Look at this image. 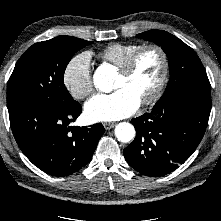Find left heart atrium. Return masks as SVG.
I'll use <instances>...</instances> for the list:
<instances>
[{"label":"left heart atrium","mask_w":221,"mask_h":221,"mask_svg":"<svg viewBox=\"0 0 221 221\" xmlns=\"http://www.w3.org/2000/svg\"><path fill=\"white\" fill-rule=\"evenodd\" d=\"M140 102L126 89L119 88L109 94H96L84 107L90 121H114L133 114Z\"/></svg>","instance_id":"left-heart-atrium-1"}]
</instances>
